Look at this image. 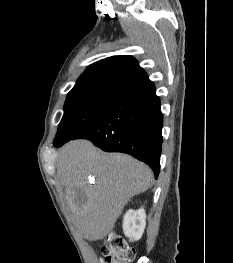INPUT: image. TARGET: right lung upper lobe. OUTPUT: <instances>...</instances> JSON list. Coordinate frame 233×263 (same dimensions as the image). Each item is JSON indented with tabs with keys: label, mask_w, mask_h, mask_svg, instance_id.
Masks as SVG:
<instances>
[{
	"label": "right lung upper lobe",
	"mask_w": 233,
	"mask_h": 263,
	"mask_svg": "<svg viewBox=\"0 0 233 263\" xmlns=\"http://www.w3.org/2000/svg\"><path fill=\"white\" fill-rule=\"evenodd\" d=\"M149 81L132 56H112L91 64L68 95L104 93L119 95Z\"/></svg>",
	"instance_id": "obj_1"
}]
</instances>
